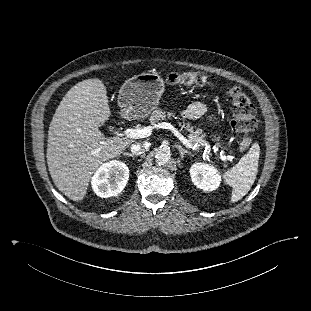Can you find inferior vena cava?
I'll return each instance as SVG.
<instances>
[{
    "label": "inferior vena cava",
    "instance_id": "inferior-vena-cava-1",
    "mask_svg": "<svg viewBox=\"0 0 311 311\" xmlns=\"http://www.w3.org/2000/svg\"><path fill=\"white\" fill-rule=\"evenodd\" d=\"M131 149V152L133 154H136V155H139V154H142L143 152H145V146L144 145H141L139 143H136V144H132V146L130 147Z\"/></svg>",
    "mask_w": 311,
    "mask_h": 311
}]
</instances>
